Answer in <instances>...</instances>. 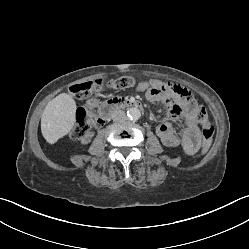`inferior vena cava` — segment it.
Here are the masks:
<instances>
[{
    "mask_svg": "<svg viewBox=\"0 0 249 249\" xmlns=\"http://www.w3.org/2000/svg\"><path fill=\"white\" fill-rule=\"evenodd\" d=\"M112 120L115 122H123L126 120V114L123 110H115L112 113Z\"/></svg>",
    "mask_w": 249,
    "mask_h": 249,
    "instance_id": "1",
    "label": "inferior vena cava"
}]
</instances>
